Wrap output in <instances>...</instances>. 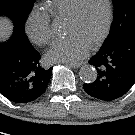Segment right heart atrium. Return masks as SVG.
<instances>
[{"label": "right heart atrium", "instance_id": "1", "mask_svg": "<svg viewBox=\"0 0 135 135\" xmlns=\"http://www.w3.org/2000/svg\"><path fill=\"white\" fill-rule=\"evenodd\" d=\"M28 38L37 45H46L52 40L51 21L46 12L32 11L25 21Z\"/></svg>", "mask_w": 135, "mask_h": 135}]
</instances>
